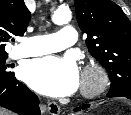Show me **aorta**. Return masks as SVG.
Wrapping results in <instances>:
<instances>
[{
  "label": "aorta",
  "mask_w": 131,
  "mask_h": 115,
  "mask_svg": "<svg viewBox=\"0 0 131 115\" xmlns=\"http://www.w3.org/2000/svg\"><path fill=\"white\" fill-rule=\"evenodd\" d=\"M71 11L67 8H59L52 15V21L57 25L68 23L71 20Z\"/></svg>",
  "instance_id": "762f6f07"
}]
</instances>
